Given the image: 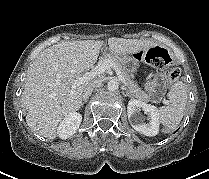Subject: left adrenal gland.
<instances>
[{
	"label": "left adrenal gland",
	"mask_w": 209,
	"mask_h": 179,
	"mask_svg": "<svg viewBox=\"0 0 209 179\" xmlns=\"http://www.w3.org/2000/svg\"><path fill=\"white\" fill-rule=\"evenodd\" d=\"M125 96L132 98V96L128 93V91L126 92Z\"/></svg>",
	"instance_id": "left-adrenal-gland-1"
}]
</instances>
